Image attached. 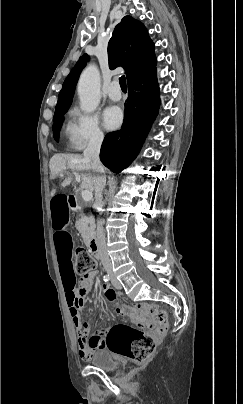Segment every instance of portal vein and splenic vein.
Returning a JSON list of instances; mask_svg holds the SVG:
<instances>
[{
    "instance_id": "1",
    "label": "portal vein and splenic vein",
    "mask_w": 243,
    "mask_h": 404,
    "mask_svg": "<svg viewBox=\"0 0 243 404\" xmlns=\"http://www.w3.org/2000/svg\"><path fill=\"white\" fill-rule=\"evenodd\" d=\"M74 174H76V172H74ZM76 182H81L80 176H77V174H76ZM82 198L84 202H90V200H92L93 198L92 192H89V190H83Z\"/></svg>"
}]
</instances>
